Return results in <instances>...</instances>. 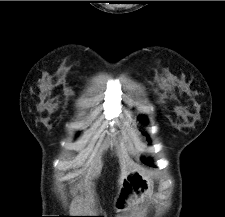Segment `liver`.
Listing matches in <instances>:
<instances>
[{
  "label": "liver",
  "instance_id": "1",
  "mask_svg": "<svg viewBox=\"0 0 225 217\" xmlns=\"http://www.w3.org/2000/svg\"><path fill=\"white\" fill-rule=\"evenodd\" d=\"M129 172L127 171V165L124 163L122 165V172H121V175H120V179H119V183L122 184L123 183V180L126 178L127 174Z\"/></svg>",
  "mask_w": 225,
  "mask_h": 217
}]
</instances>
